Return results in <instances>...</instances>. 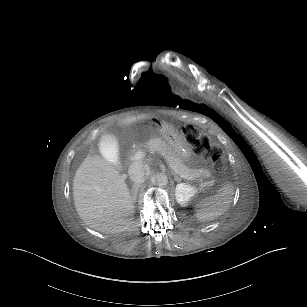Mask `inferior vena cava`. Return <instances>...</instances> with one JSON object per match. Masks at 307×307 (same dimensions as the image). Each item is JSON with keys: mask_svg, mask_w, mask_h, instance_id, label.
<instances>
[{"mask_svg": "<svg viewBox=\"0 0 307 307\" xmlns=\"http://www.w3.org/2000/svg\"><path fill=\"white\" fill-rule=\"evenodd\" d=\"M128 173L133 182L140 184L144 182L145 178L149 175V169L147 165L136 161L131 163Z\"/></svg>", "mask_w": 307, "mask_h": 307, "instance_id": "inferior-vena-cava-1", "label": "inferior vena cava"}]
</instances>
